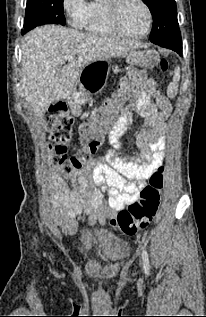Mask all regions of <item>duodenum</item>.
I'll list each match as a JSON object with an SVG mask.
<instances>
[{"instance_id":"1","label":"duodenum","mask_w":206,"mask_h":317,"mask_svg":"<svg viewBox=\"0 0 206 317\" xmlns=\"http://www.w3.org/2000/svg\"><path fill=\"white\" fill-rule=\"evenodd\" d=\"M69 105L71 107V113L72 115H79L81 109H82V102L81 100H70Z\"/></svg>"}]
</instances>
